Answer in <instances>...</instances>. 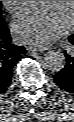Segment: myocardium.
I'll list each match as a JSON object with an SVG mask.
<instances>
[{
    "instance_id": "myocardium-1",
    "label": "myocardium",
    "mask_w": 74,
    "mask_h": 122,
    "mask_svg": "<svg viewBox=\"0 0 74 122\" xmlns=\"http://www.w3.org/2000/svg\"><path fill=\"white\" fill-rule=\"evenodd\" d=\"M72 10H71V22H74V1H71Z\"/></svg>"
}]
</instances>
